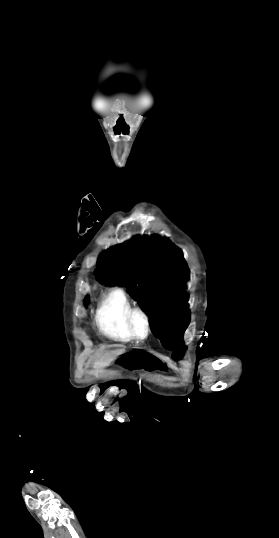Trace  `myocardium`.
I'll use <instances>...</instances> for the list:
<instances>
[{
  "label": "myocardium",
  "mask_w": 279,
  "mask_h": 538,
  "mask_svg": "<svg viewBox=\"0 0 279 538\" xmlns=\"http://www.w3.org/2000/svg\"><path fill=\"white\" fill-rule=\"evenodd\" d=\"M136 317H140L144 323V335L139 336L134 330V320ZM126 327L130 334V337L136 341L143 342L148 339L151 334V322L148 314L141 308H131L126 316Z\"/></svg>",
  "instance_id": "1"
}]
</instances>
